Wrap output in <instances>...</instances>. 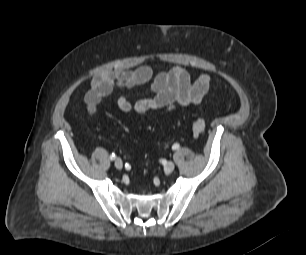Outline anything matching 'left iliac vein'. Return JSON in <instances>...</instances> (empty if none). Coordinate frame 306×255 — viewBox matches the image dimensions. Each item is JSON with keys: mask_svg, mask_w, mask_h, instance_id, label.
<instances>
[{"mask_svg": "<svg viewBox=\"0 0 306 255\" xmlns=\"http://www.w3.org/2000/svg\"><path fill=\"white\" fill-rule=\"evenodd\" d=\"M175 168V164L172 161H168L164 165V172L170 174Z\"/></svg>", "mask_w": 306, "mask_h": 255, "instance_id": "obj_1", "label": "left iliac vein"}]
</instances>
